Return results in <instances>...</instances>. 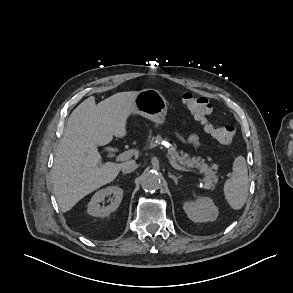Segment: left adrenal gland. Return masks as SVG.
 Listing matches in <instances>:
<instances>
[{
	"mask_svg": "<svg viewBox=\"0 0 293 293\" xmlns=\"http://www.w3.org/2000/svg\"><path fill=\"white\" fill-rule=\"evenodd\" d=\"M168 176L175 182L176 185H178V179H180L181 176L176 177L170 173L168 174Z\"/></svg>",
	"mask_w": 293,
	"mask_h": 293,
	"instance_id": "1",
	"label": "left adrenal gland"
}]
</instances>
